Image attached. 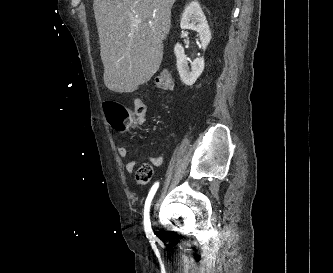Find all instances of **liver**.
I'll list each match as a JSON object with an SVG mask.
<instances>
[{
  "instance_id": "obj_1",
  "label": "liver",
  "mask_w": 333,
  "mask_h": 273,
  "mask_svg": "<svg viewBox=\"0 0 333 273\" xmlns=\"http://www.w3.org/2000/svg\"><path fill=\"white\" fill-rule=\"evenodd\" d=\"M175 0H94L104 84L130 93L147 83L163 59Z\"/></svg>"
}]
</instances>
